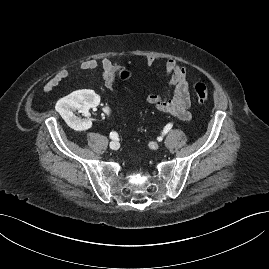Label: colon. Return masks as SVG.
<instances>
[{
  "mask_svg": "<svg viewBox=\"0 0 269 269\" xmlns=\"http://www.w3.org/2000/svg\"><path fill=\"white\" fill-rule=\"evenodd\" d=\"M131 76L130 72L126 69L119 70L117 73V79L119 81H125ZM194 93L198 103H205L209 98V90L205 84L198 82L194 85Z\"/></svg>",
  "mask_w": 269,
  "mask_h": 269,
  "instance_id": "obj_1",
  "label": "colon"
}]
</instances>
